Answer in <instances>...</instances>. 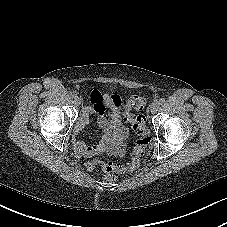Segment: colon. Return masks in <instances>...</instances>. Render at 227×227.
<instances>
[{"label": "colon", "mask_w": 227, "mask_h": 227, "mask_svg": "<svg viewBox=\"0 0 227 227\" xmlns=\"http://www.w3.org/2000/svg\"><path fill=\"white\" fill-rule=\"evenodd\" d=\"M123 109L125 111L124 120L129 122L137 134L134 149L131 154V161L127 165H116L111 161H102L98 158L92 159L87 166L93 170L97 164L101 168L107 179H114L118 174H125L135 171L141 163V159L146 153L151 138L149 130L146 126L145 117L143 115H134L132 110H142L146 106V100L142 96H132L122 101Z\"/></svg>", "instance_id": "5ec220e1"}]
</instances>
